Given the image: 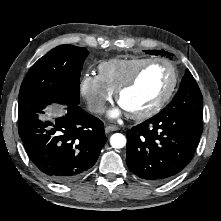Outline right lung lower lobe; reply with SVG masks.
<instances>
[{
  "mask_svg": "<svg viewBox=\"0 0 221 221\" xmlns=\"http://www.w3.org/2000/svg\"><path fill=\"white\" fill-rule=\"evenodd\" d=\"M43 113L18 120L19 136L30 160L54 182L67 184L82 178L107 140L103 122L78 105H66V114L54 120H39Z\"/></svg>",
  "mask_w": 221,
  "mask_h": 221,
  "instance_id": "obj_1",
  "label": "right lung lower lobe"
}]
</instances>
